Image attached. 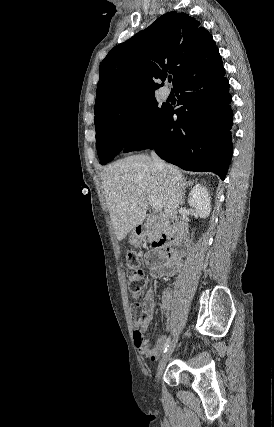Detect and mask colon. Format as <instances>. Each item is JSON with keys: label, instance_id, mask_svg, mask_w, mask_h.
Listing matches in <instances>:
<instances>
[{"label": "colon", "instance_id": "5ec220e1", "mask_svg": "<svg viewBox=\"0 0 274 427\" xmlns=\"http://www.w3.org/2000/svg\"><path fill=\"white\" fill-rule=\"evenodd\" d=\"M142 261V256L136 252H130L128 257V289L131 294H137L145 285V280L143 276V269L140 264ZM130 313L132 318L139 320L143 318L144 311L140 303H132L130 305Z\"/></svg>", "mask_w": 274, "mask_h": 427}]
</instances>
